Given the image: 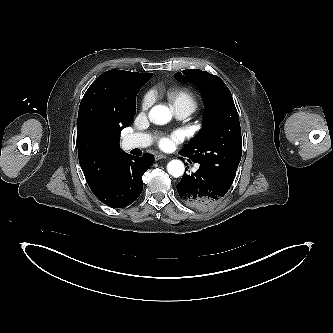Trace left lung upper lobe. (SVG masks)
<instances>
[{
    "label": "left lung upper lobe",
    "instance_id": "obj_1",
    "mask_svg": "<svg viewBox=\"0 0 333 333\" xmlns=\"http://www.w3.org/2000/svg\"><path fill=\"white\" fill-rule=\"evenodd\" d=\"M175 74L181 81L196 83L205 102L203 130L179 151L231 186L242 155L239 116L225 83L216 75L197 69Z\"/></svg>",
    "mask_w": 333,
    "mask_h": 333
}]
</instances>
